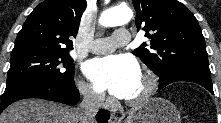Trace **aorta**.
I'll use <instances>...</instances> for the list:
<instances>
[{
  "label": "aorta",
  "mask_w": 221,
  "mask_h": 123,
  "mask_svg": "<svg viewBox=\"0 0 221 123\" xmlns=\"http://www.w3.org/2000/svg\"><path fill=\"white\" fill-rule=\"evenodd\" d=\"M133 17V12L129 7L119 6L105 10L100 18L99 23L105 27H113L128 23Z\"/></svg>",
  "instance_id": "aorta-1"
}]
</instances>
